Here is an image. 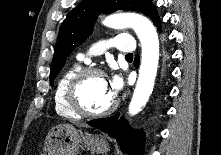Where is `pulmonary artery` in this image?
<instances>
[{"label": "pulmonary artery", "instance_id": "obj_1", "mask_svg": "<svg viewBox=\"0 0 221 155\" xmlns=\"http://www.w3.org/2000/svg\"><path fill=\"white\" fill-rule=\"evenodd\" d=\"M111 45L115 47L118 51L123 53H131L135 49V43L129 34H119L112 41ZM103 46H97L96 50H101ZM80 60L88 61L84 55L79 56Z\"/></svg>", "mask_w": 221, "mask_h": 155}]
</instances>
